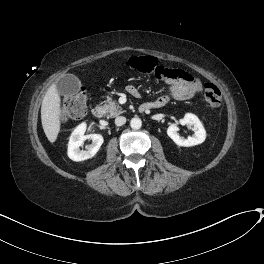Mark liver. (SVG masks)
Returning <instances> with one entry per match:
<instances>
[{
	"label": "liver",
	"mask_w": 264,
	"mask_h": 264,
	"mask_svg": "<svg viewBox=\"0 0 264 264\" xmlns=\"http://www.w3.org/2000/svg\"><path fill=\"white\" fill-rule=\"evenodd\" d=\"M61 115V98L56 83H53L47 90L41 106L42 127L52 143L56 141L60 132Z\"/></svg>",
	"instance_id": "obj_1"
}]
</instances>
